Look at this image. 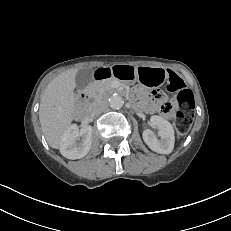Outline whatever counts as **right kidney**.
Instances as JSON below:
<instances>
[{"label":"right kidney","mask_w":231,"mask_h":231,"mask_svg":"<svg viewBox=\"0 0 231 231\" xmlns=\"http://www.w3.org/2000/svg\"><path fill=\"white\" fill-rule=\"evenodd\" d=\"M92 144V127L78 129L71 125L63 134L60 141V153L68 159H80L87 155Z\"/></svg>","instance_id":"obj_1"}]
</instances>
